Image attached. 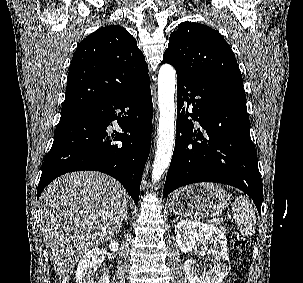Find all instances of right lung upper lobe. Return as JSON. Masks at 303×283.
I'll list each match as a JSON object with an SVG mask.
<instances>
[{
  "instance_id": "right-lung-upper-lobe-1",
  "label": "right lung upper lobe",
  "mask_w": 303,
  "mask_h": 283,
  "mask_svg": "<svg viewBox=\"0 0 303 283\" xmlns=\"http://www.w3.org/2000/svg\"><path fill=\"white\" fill-rule=\"evenodd\" d=\"M150 80L136 39L123 27H101L78 45L61 115L126 94Z\"/></svg>"
}]
</instances>
